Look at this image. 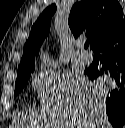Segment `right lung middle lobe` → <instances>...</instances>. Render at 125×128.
<instances>
[{
	"label": "right lung middle lobe",
	"instance_id": "obj_1",
	"mask_svg": "<svg viewBox=\"0 0 125 128\" xmlns=\"http://www.w3.org/2000/svg\"><path fill=\"white\" fill-rule=\"evenodd\" d=\"M33 71H34V64L27 67L26 69L18 71L16 84H15V91H14L15 96L18 95L22 91V89L26 85V83ZM104 81H105V77H99L98 79L95 80V82L97 84H100Z\"/></svg>",
	"mask_w": 125,
	"mask_h": 128
}]
</instances>
